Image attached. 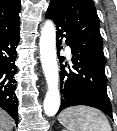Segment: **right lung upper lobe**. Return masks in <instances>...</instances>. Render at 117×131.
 Segmentation results:
<instances>
[{
  "instance_id": "1",
  "label": "right lung upper lobe",
  "mask_w": 117,
  "mask_h": 131,
  "mask_svg": "<svg viewBox=\"0 0 117 131\" xmlns=\"http://www.w3.org/2000/svg\"><path fill=\"white\" fill-rule=\"evenodd\" d=\"M20 0H0V40L19 31Z\"/></svg>"
}]
</instances>
